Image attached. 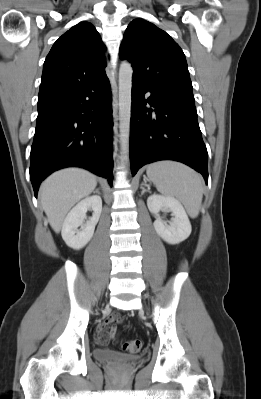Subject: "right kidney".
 Segmentation results:
<instances>
[{
	"label": "right kidney",
	"mask_w": 261,
	"mask_h": 399,
	"mask_svg": "<svg viewBox=\"0 0 261 399\" xmlns=\"http://www.w3.org/2000/svg\"><path fill=\"white\" fill-rule=\"evenodd\" d=\"M91 209L93 215L86 224V212ZM102 212V199L99 195H93L81 200L66 216L61 235L67 246L75 250L83 248L93 237L95 226ZM81 226V230L78 227Z\"/></svg>",
	"instance_id": "ca27d5eb"
}]
</instances>
